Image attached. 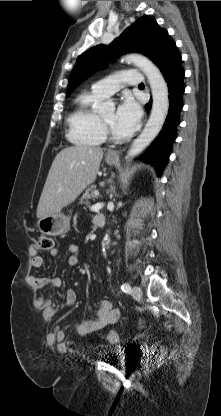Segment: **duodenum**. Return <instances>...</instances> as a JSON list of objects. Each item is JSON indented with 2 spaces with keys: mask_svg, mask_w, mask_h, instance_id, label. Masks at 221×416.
Here are the masks:
<instances>
[{
  "mask_svg": "<svg viewBox=\"0 0 221 416\" xmlns=\"http://www.w3.org/2000/svg\"><path fill=\"white\" fill-rule=\"evenodd\" d=\"M95 223H96V226L97 227H99V228L103 227L104 224H105V217L104 216H98L96 218V222Z\"/></svg>",
  "mask_w": 221,
  "mask_h": 416,
  "instance_id": "410a0bca",
  "label": "duodenum"
}]
</instances>
